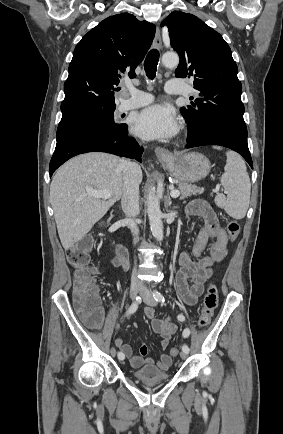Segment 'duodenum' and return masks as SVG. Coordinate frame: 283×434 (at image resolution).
Masks as SVG:
<instances>
[{
  "label": "duodenum",
  "mask_w": 283,
  "mask_h": 434,
  "mask_svg": "<svg viewBox=\"0 0 283 434\" xmlns=\"http://www.w3.org/2000/svg\"><path fill=\"white\" fill-rule=\"evenodd\" d=\"M119 247H121V249H122L123 252H127L126 249L123 246H119Z\"/></svg>",
  "instance_id": "duodenum-1"
}]
</instances>
